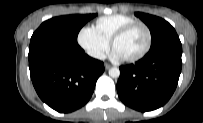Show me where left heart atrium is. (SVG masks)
I'll list each match as a JSON object with an SVG mask.
<instances>
[{
  "mask_svg": "<svg viewBox=\"0 0 203 123\" xmlns=\"http://www.w3.org/2000/svg\"><path fill=\"white\" fill-rule=\"evenodd\" d=\"M113 56L115 57V58H117V59H121V58H123L117 51H113Z\"/></svg>",
  "mask_w": 203,
  "mask_h": 123,
  "instance_id": "left-heart-atrium-1",
  "label": "left heart atrium"
}]
</instances>
